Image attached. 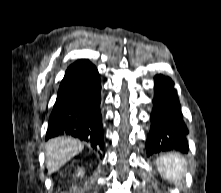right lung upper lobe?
<instances>
[{"instance_id": "cb5924a9", "label": "right lung upper lobe", "mask_w": 221, "mask_h": 193, "mask_svg": "<svg viewBox=\"0 0 221 193\" xmlns=\"http://www.w3.org/2000/svg\"><path fill=\"white\" fill-rule=\"evenodd\" d=\"M88 62L89 61H87V60H80V61H77V62L73 63L72 65H70L66 71V74H65L64 79L62 80L61 84L63 82H65L71 76V74H73L75 71H77L80 67L87 64Z\"/></svg>"}]
</instances>
